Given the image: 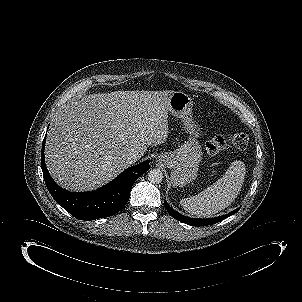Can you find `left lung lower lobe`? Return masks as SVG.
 I'll use <instances>...</instances> for the list:
<instances>
[{"label": "left lung lower lobe", "instance_id": "1", "mask_svg": "<svg viewBox=\"0 0 302 302\" xmlns=\"http://www.w3.org/2000/svg\"><path fill=\"white\" fill-rule=\"evenodd\" d=\"M165 208L173 218L179 220L180 222H183L185 224L192 225V226H206V225L215 224V223H217V222L233 215L234 213H236L239 210V208H238V209L232 211L229 214L219 216V217H215V218L194 219V218H189V217H186V216H183V215L179 214L178 212L173 210L166 202H165Z\"/></svg>", "mask_w": 302, "mask_h": 302}]
</instances>
